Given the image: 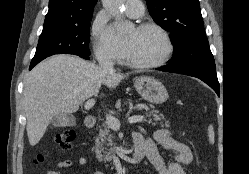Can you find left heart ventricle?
Returning a JSON list of instances; mask_svg holds the SVG:
<instances>
[{"label": "left heart ventricle", "mask_w": 249, "mask_h": 174, "mask_svg": "<svg viewBox=\"0 0 249 174\" xmlns=\"http://www.w3.org/2000/svg\"><path fill=\"white\" fill-rule=\"evenodd\" d=\"M127 44L126 59L148 63L161 59L167 50L166 42L155 30H131L124 39Z\"/></svg>", "instance_id": "b2bd125f"}]
</instances>
